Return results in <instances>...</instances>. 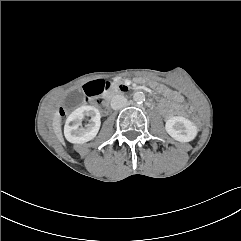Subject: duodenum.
<instances>
[{"label": "duodenum", "instance_id": "1", "mask_svg": "<svg viewBox=\"0 0 241 241\" xmlns=\"http://www.w3.org/2000/svg\"><path fill=\"white\" fill-rule=\"evenodd\" d=\"M109 88V86H108ZM130 90V87L126 84H119L118 86L110 88L105 96V100L103 102V106L107 107L108 106V99H110L116 92H122L125 93Z\"/></svg>", "mask_w": 241, "mask_h": 241}]
</instances>
